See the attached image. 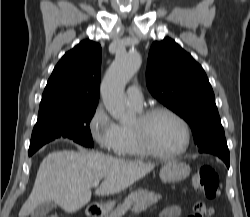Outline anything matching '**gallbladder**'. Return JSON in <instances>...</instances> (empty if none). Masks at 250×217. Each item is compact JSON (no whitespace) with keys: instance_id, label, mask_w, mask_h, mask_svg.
<instances>
[{"instance_id":"bac80fb5","label":"gallbladder","mask_w":250,"mask_h":217,"mask_svg":"<svg viewBox=\"0 0 250 217\" xmlns=\"http://www.w3.org/2000/svg\"><path fill=\"white\" fill-rule=\"evenodd\" d=\"M56 208V204L54 202H47L40 206H38L33 212L32 217H46V215Z\"/></svg>"}]
</instances>
